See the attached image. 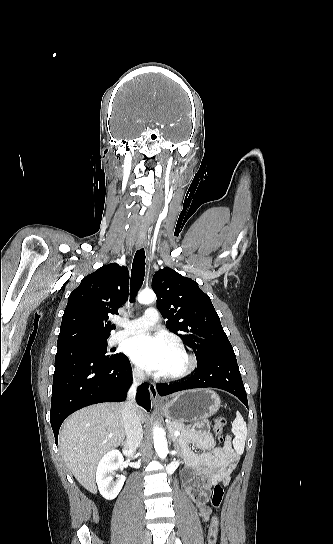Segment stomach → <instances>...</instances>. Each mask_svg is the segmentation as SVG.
Here are the masks:
<instances>
[{
  "instance_id": "1",
  "label": "stomach",
  "mask_w": 333,
  "mask_h": 544,
  "mask_svg": "<svg viewBox=\"0 0 333 544\" xmlns=\"http://www.w3.org/2000/svg\"><path fill=\"white\" fill-rule=\"evenodd\" d=\"M220 404V397L213 390L197 389L178 393L161 410L169 419L183 424L214 415Z\"/></svg>"
}]
</instances>
